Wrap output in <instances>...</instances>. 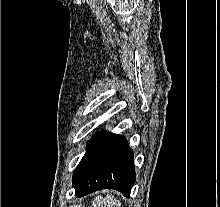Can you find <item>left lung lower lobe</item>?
Here are the masks:
<instances>
[{
  "instance_id": "obj_1",
  "label": "left lung lower lobe",
  "mask_w": 220,
  "mask_h": 207,
  "mask_svg": "<svg viewBox=\"0 0 220 207\" xmlns=\"http://www.w3.org/2000/svg\"><path fill=\"white\" fill-rule=\"evenodd\" d=\"M87 148L73 175L76 196L109 188L129 197L136 175L133 151L125 137L101 132Z\"/></svg>"
}]
</instances>
